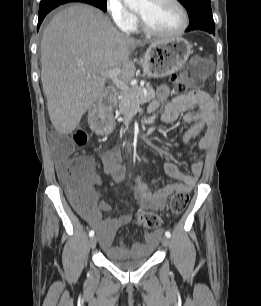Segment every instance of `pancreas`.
<instances>
[{"mask_svg":"<svg viewBox=\"0 0 261 306\" xmlns=\"http://www.w3.org/2000/svg\"><path fill=\"white\" fill-rule=\"evenodd\" d=\"M155 98V91L147 85L146 88L140 86L129 87L127 90H121L119 99V112L123 115L129 114L137 108L140 103L150 102Z\"/></svg>","mask_w":261,"mask_h":306,"instance_id":"1","label":"pancreas"}]
</instances>
